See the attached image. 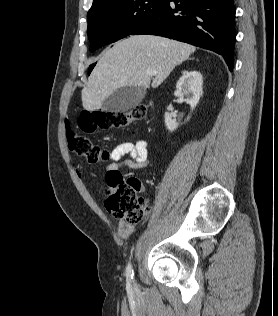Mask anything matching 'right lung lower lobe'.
Masks as SVG:
<instances>
[{"instance_id": "obj_1", "label": "right lung lower lobe", "mask_w": 278, "mask_h": 316, "mask_svg": "<svg viewBox=\"0 0 278 316\" xmlns=\"http://www.w3.org/2000/svg\"><path fill=\"white\" fill-rule=\"evenodd\" d=\"M141 34L168 37L212 50L223 56L230 71L233 69V0H164L157 12L131 35Z\"/></svg>"}]
</instances>
